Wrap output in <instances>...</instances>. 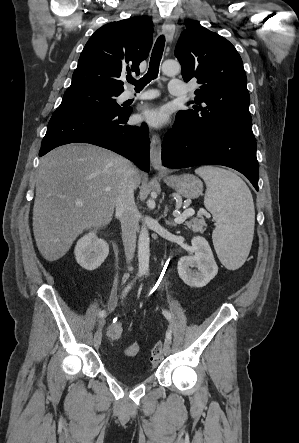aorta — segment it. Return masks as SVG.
<instances>
[{
	"mask_svg": "<svg viewBox=\"0 0 299 443\" xmlns=\"http://www.w3.org/2000/svg\"><path fill=\"white\" fill-rule=\"evenodd\" d=\"M181 71V66L177 61L167 60L162 64V72L166 76H175ZM148 206L155 205V201L149 199ZM149 258H150V237L149 232L144 224L141 227L138 238V268L140 273L149 272Z\"/></svg>",
	"mask_w": 299,
	"mask_h": 443,
	"instance_id": "aorta-1",
	"label": "aorta"
}]
</instances>
